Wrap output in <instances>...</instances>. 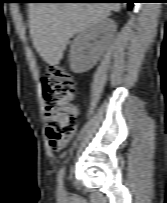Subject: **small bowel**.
Wrapping results in <instances>:
<instances>
[{
    "label": "small bowel",
    "instance_id": "1",
    "mask_svg": "<svg viewBox=\"0 0 167 203\" xmlns=\"http://www.w3.org/2000/svg\"><path fill=\"white\" fill-rule=\"evenodd\" d=\"M70 141V137L63 138L56 146L52 147L55 151L60 152L62 151L65 146L68 144Z\"/></svg>",
    "mask_w": 167,
    "mask_h": 203
}]
</instances>
